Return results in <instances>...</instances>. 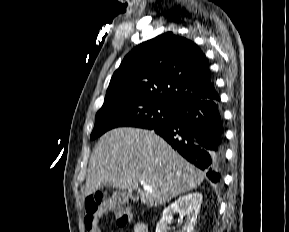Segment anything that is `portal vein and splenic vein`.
<instances>
[{"label":"portal vein and splenic vein","mask_w":289,"mask_h":232,"mask_svg":"<svg viewBox=\"0 0 289 232\" xmlns=\"http://www.w3.org/2000/svg\"><path fill=\"white\" fill-rule=\"evenodd\" d=\"M141 184H142L144 190H146V191H152V188H151L149 185L144 184V183H141Z\"/></svg>","instance_id":"18ae733b"}]
</instances>
